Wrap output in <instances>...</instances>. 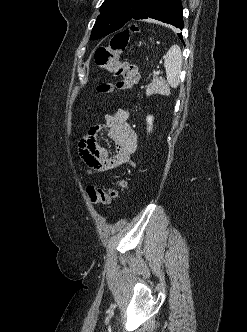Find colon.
<instances>
[{
	"instance_id": "colon-1",
	"label": "colon",
	"mask_w": 247,
	"mask_h": 332,
	"mask_svg": "<svg viewBox=\"0 0 247 332\" xmlns=\"http://www.w3.org/2000/svg\"><path fill=\"white\" fill-rule=\"evenodd\" d=\"M137 32L138 27L132 25L130 28L115 34L107 46H101L96 50L94 55L96 65L118 78L115 83L99 84L97 87L98 92L127 91L137 83L139 79L137 67L127 61L120 60L119 57L126 49L130 36ZM125 187V179L122 176H117L112 187L98 188L88 186L86 191L91 202L109 204L119 196V193Z\"/></svg>"
}]
</instances>
